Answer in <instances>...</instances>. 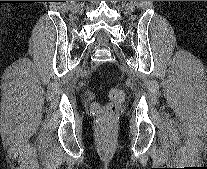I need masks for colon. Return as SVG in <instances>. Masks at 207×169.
<instances>
[{"mask_svg":"<svg viewBox=\"0 0 207 169\" xmlns=\"http://www.w3.org/2000/svg\"><path fill=\"white\" fill-rule=\"evenodd\" d=\"M109 96L111 101L104 108L96 107V111L100 115L99 129L104 135H108L112 130V121L124 99V93L119 88H112Z\"/></svg>","mask_w":207,"mask_h":169,"instance_id":"obj_1","label":"colon"}]
</instances>
